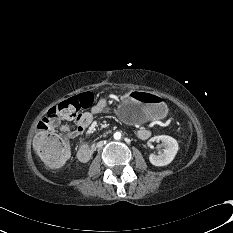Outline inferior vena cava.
Returning a JSON list of instances; mask_svg holds the SVG:
<instances>
[{"label": "inferior vena cava", "mask_w": 233, "mask_h": 233, "mask_svg": "<svg viewBox=\"0 0 233 233\" xmlns=\"http://www.w3.org/2000/svg\"><path fill=\"white\" fill-rule=\"evenodd\" d=\"M97 145H98L99 147H101V146H103V143H102V142H99Z\"/></svg>", "instance_id": "obj_1"}]
</instances>
